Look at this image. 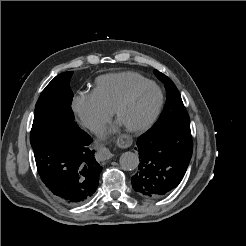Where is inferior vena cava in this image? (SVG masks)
Segmentation results:
<instances>
[{
  "instance_id": "obj_1",
  "label": "inferior vena cava",
  "mask_w": 246,
  "mask_h": 246,
  "mask_svg": "<svg viewBox=\"0 0 246 246\" xmlns=\"http://www.w3.org/2000/svg\"><path fill=\"white\" fill-rule=\"evenodd\" d=\"M88 129L93 131L94 133H101L104 131V124L101 121L93 120L90 121L87 125Z\"/></svg>"
}]
</instances>
